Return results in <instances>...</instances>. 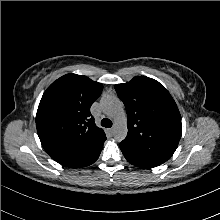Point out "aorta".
I'll list each match as a JSON object with an SVG mask.
<instances>
[{
  "label": "aorta",
  "mask_w": 220,
  "mask_h": 220,
  "mask_svg": "<svg viewBox=\"0 0 220 220\" xmlns=\"http://www.w3.org/2000/svg\"><path fill=\"white\" fill-rule=\"evenodd\" d=\"M103 110L114 120L113 136L122 141L128 133L127 117L122 102L114 96H104L101 99Z\"/></svg>",
  "instance_id": "obj_1"
}]
</instances>
